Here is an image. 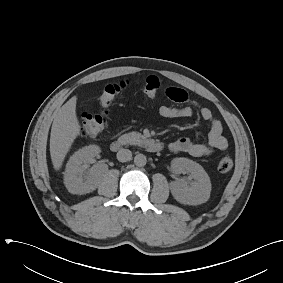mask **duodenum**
I'll use <instances>...</instances> for the list:
<instances>
[{"instance_id":"410a0bca","label":"duodenum","mask_w":283,"mask_h":283,"mask_svg":"<svg viewBox=\"0 0 283 283\" xmlns=\"http://www.w3.org/2000/svg\"><path fill=\"white\" fill-rule=\"evenodd\" d=\"M146 149L150 152L157 153L163 150V144L158 141L154 140H147L146 143ZM123 144L120 140H114L110 144V149L113 152H117L122 148Z\"/></svg>"}]
</instances>
